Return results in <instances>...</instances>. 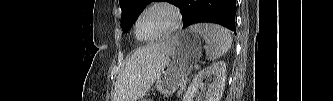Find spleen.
<instances>
[{
    "mask_svg": "<svg viewBox=\"0 0 333 101\" xmlns=\"http://www.w3.org/2000/svg\"><path fill=\"white\" fill-rule=\"evenodd\" d=\"M190 30L198 33L207 44L206 57L210 61L220 58L231 48L232 37L224 27L204 23L192 25Z\"/></svg>",
    "mask_w": 333,
    "mask_h": 101,
    "instance_id": "3e777b00",
    "label": "spleen"
}]
</instances>
